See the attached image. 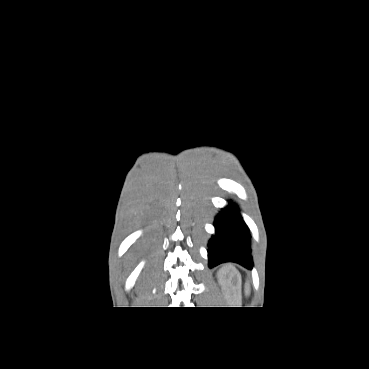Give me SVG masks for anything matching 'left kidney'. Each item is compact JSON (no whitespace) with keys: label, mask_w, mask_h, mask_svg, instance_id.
Returning <instances> with one entry per match:
<instances>
[{"label":"left kidney","mask_w":369,"mask_h":369,"mask_svg":"<svg viewBox=\"0 0 369 369\" xmlns=\"http://www.w3.org/2000/svg\"><path fill=\"white\" fill-rule=\"evenodd\" d=\"M217 278L224 290H237L240 282V274L233 267L221 268L217 272Z\"/></svg>","instance_id":"1"}]
</instances>
